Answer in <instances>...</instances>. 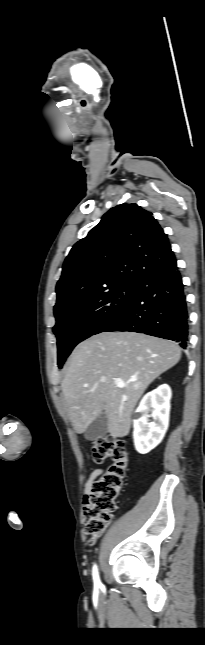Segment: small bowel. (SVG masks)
Wrapping results in <instances>:
<instances>
[{"label":"small bowel","mask_w":205,"mask_h":645,"mask_svg":"<svg viewBox=\"0 0 205 645\" xmlns=\"http://www.w3.org/2000/svg\"><path fill=\"white\" fill-rule=\"evenodd\" d=\"M102 473H103L102 469H95V470L92 471V473L90 474V476H89V478H88V480H87V482L85 484V496L86 497L90 494L96 479Z\"/></svg>","instance_id":"c3829d8e"}]
</instances>
